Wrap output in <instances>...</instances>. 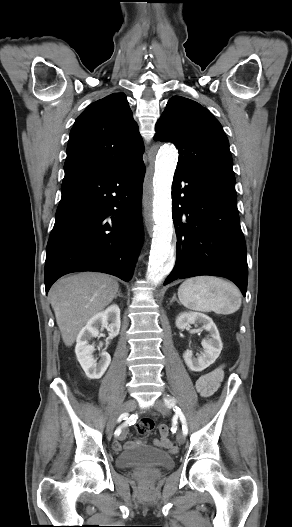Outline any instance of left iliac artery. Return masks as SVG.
Here are the masks:
<instances>
[{
	"mask_svg": "<svg viewBox=\"0 0 292 527\" xmlns=\"http://www.w3.org/2000/svg\"><path fill=\"white\" fill-rule=\"evenodd\" d=\"M165 401V404L168 406V407H173V410L174 412L176 413V415L180 418V421L182 423V431H183V434L184 435H187L188 433V426H187V423H186V418L182 412V410L176 406V401L175 399H169V398H165L164 399Z\"/></svg>",
	"mask_w": 292,
	"mask_h": 527,
	"instance_id": "44dca946",
	"label": "left iliac artery"
}]
</instances>
